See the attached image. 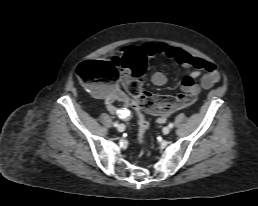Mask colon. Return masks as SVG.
I'll use <instances>...</instances> for the list:
<instances>
[{
  "mask_svg": "<svg viewBox=\"0 0 258 206\" xmlns=\"http://www.w3.org/2000/svg\"><path fill=\"white\" fill-rule=\"evenodd\" d=\"M145 71L146 57L138 53L123 61L121 73L117 64L108 60H89L78 66L77 76L82 84L95 91L102 84H111L122 79L127 92L134 100L135 106L159 116L187 108L196 101V95L193 93L157 96L144 90L142 78ZM137 125L139 141L141 144H145L148 121L140 113L137 114Z\"/></svg>",
  "mask_w": 258,
  "mask_h": 206,
  "instance_id": "5ec220e1",
  "label": "colon"
}]
</instances>
